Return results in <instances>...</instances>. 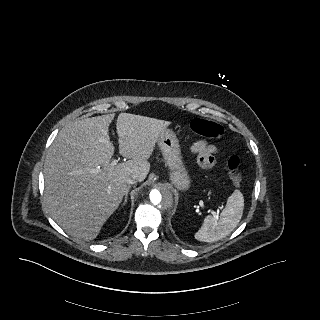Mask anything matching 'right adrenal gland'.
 <instances>
[{
	"instance_id": "obj_1",
	"label": "right adrenal gland",
	"mask_w": 320,
	"mask_h": 320,
	"mask_svg": "<svg viewBox=\"0 0 320 320\" xmlns=\"http://www.w3.org/2000/svg\"><path fill=\"white\" fill-rule=\"evenodd\" d=\"M129 189H130V186L128 187L127 193H126V195H125V198H124V201H123V204H122L123 206H124V205L126 204V202H127Z\"/></svg>"
}]
</instances>
